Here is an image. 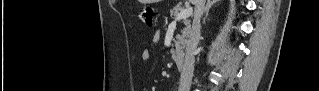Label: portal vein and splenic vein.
Segmentation results:
<instances>
[{"mask_svg": "<svg viewBox=\"0 0 319 91\" xmlns=\"http://www.w3.org/2000/svg\"><path fill=\"white\" fill-rule=\"evenodd\" d=\"M192 8H186L180 11V13L177 15L176 20H182V19H187L192 15Z\"/></svg>", "mask_w": 319, "mask_h": 91, "instance_id": "portal-vein-and-splenic-vein-1", "label": "portal vein and splenic vein"}]
</instances>
